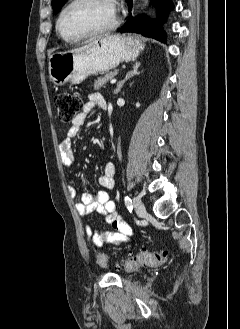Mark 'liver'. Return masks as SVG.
I'll list each match as a JSON object with an SVG mask.
<instances>
[{"instance_id":"obj_1","label":"liver","mask_w":240,"mask_h":329,"mask_svg":"<svg viewBox=\"0 0 240 329\" xmlns=\"http://www.w3.org/2000/svg\"><path fill=\"white\" fill-rule=\"evenodd\" d=\"M100 38H102V37H95V38L89 39V41H88V43H87L86 45H84V46H82V47H79V48H77V49H73V50H71V51H69V52H80V51L86 50V49L92 47L94 44H96L97 41H98Z\"/></svg>"}]
</instances>
